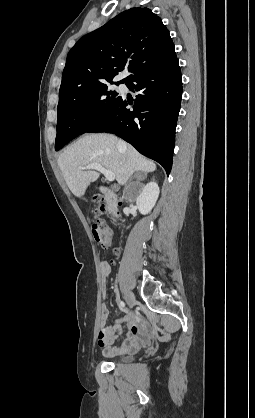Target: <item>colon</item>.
Instances as JSON below:
<instances>
[{
    "label": "colon",
    "instance_id": "colon-1",
    "mask_svg": "<svg viewBox=\"0 0 255 418\" xmlns=\"http://www.w3.org/2000/svg\"><path fill=\"white\" fill-rule=\"evenodd\" d=\"M98 208L95 210V221L92 224V234L95 241L103 248L108 249L112 244V231L98 218V215L106 211V205L104 202H99ZM122 202L118 201L117 205H121Z\"/></svg>",
    "mask_w": 255,
    "mask_h": 418
}]
</instances>
